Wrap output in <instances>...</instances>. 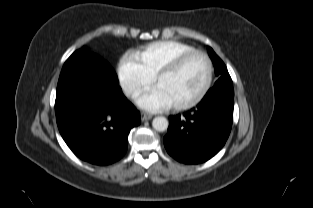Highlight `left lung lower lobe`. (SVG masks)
Segmentation results:
<instances>
[{
  "mask_svg": "<svg viewBox=\"0 0 313 208\" xmlns=\"http://www.w3.org/2000/svg\"><path fill=\"white\" fill-rule=\"evenodd\" d=\"M234 108L232 85L211 88L196 107L169 117L164 137L167 152L185 164H199L216 155L231 131Z\"/></svg>",
  "mask_w": 313,
  "mask_h": 208,
  "instance_id": "left-lung-lower-lobe-1",
  "label": "left lung lower lobe"
}]
</instances>
